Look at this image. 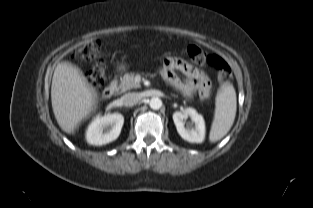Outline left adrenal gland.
<instances>
[{
    "instance_id": "a2214340",
    "label": "left adrenal gland",
    "mask_w": 313,
    "mask_h": 208,
    "mask_svg": "<svg viewBox=\"0 0 313 208\" xmlns=\"http://www.w3.org/2000/svg\"><path fill=\"white\" fill-rule=\"evenodd\" d=\"M172 96H173L174 98H176V97H177V96H176V95H174V94H173Z\"/></svg>"
}]
</instances>
